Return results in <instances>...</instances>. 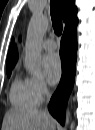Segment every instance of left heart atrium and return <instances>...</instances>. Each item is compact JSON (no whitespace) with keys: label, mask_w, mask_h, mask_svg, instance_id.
Instances as JSON below:
<instances>
[{"label":"left heart atrium","mask_w":95,"mask_h":130,"mask_svg":"<svg viewBox=\"0 0 95 130\" xmlns=\"http://www.w3.org/2000/svg\"><path fill=\"white\" fill-rule=\"evenodd\" d=\"M43 69L47 80L56 84L62 73L61 59L56 53H50L43 59Z\"/></svg>","instance_id":"1"}]
</instances>
